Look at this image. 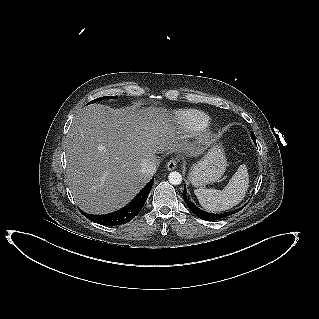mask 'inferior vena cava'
Instances as JSON below:
<instances>
[{
	"mask_svg": "<svg viewBox=\"0 0 319 319\" xmlns=\"http://www.w3.org/2000/svg\"><path fill=\"white\" fill-rule=\"evenodd\" d=\"M141 171L153 175L156 172V161L154 158H144L141 161Z\"/></svg>",
	"mask_w": 319,
	"mask_h": 319,
	"instance_id": "obj_1",
	"label": "inferior vena cava"
}]
</instances>
